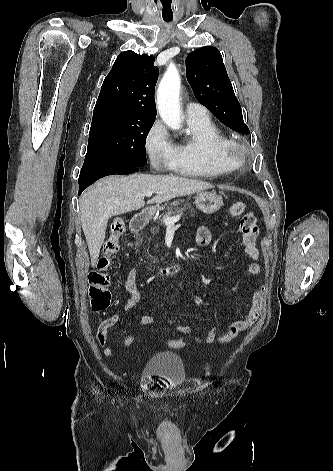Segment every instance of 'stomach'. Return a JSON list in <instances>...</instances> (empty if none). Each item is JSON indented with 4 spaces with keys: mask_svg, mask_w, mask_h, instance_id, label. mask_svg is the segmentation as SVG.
I'll return each instance as SVG.
<instances>
[{
    "mask_svg": "<svg viewBox=\"0 0 333 471\" xmlns=\"http://www.w3.org/2000/svg\"><path fill=\"white\" fill-rule=\"evenodd\" d=\"M180 201H174L173 206H177ZM194 204L196 208L206 214H212L217 212L223 205V198L216 193L211 192H199L195 196Z\"/></svg>",
    "mask_w": 333,
    "mask_h": 471,
    "instance_id": "1",
    "label": "stomach"
}]
</instances>
